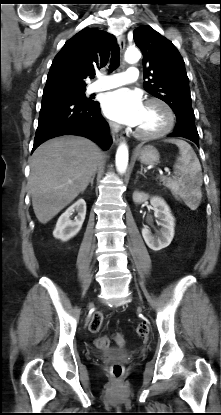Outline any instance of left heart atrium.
Masks as SVG:
<instances>
[{"mask_svg": "<svg viewBox=\"0 0 221 415\" xmlns=\"http://www.w3.org/2000/svg\"><path fill=\"white\" fill-rule=\"evenodd\" d=\"M144 106L140 92L127 88L109 92L102 100L104 114L112 121L128 126L139 124Z\"/></svg>", "mask_w": 221, "mask_h": 415, "instance_id": "39dd6f15", "label": "left heart atrium"}]
</instances>
